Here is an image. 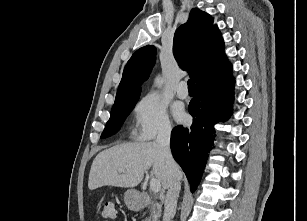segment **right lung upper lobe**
Segmentation results:
<instances>
[{"instance_id": "right-lung-upper-lobe-1", "label": "right lung upper lobe", "mask_w": 307, "mask_h": 221, "mask_svg": "<svg viewBox=\"0 0 307 221\" xmlns=\"http://www.w3.org/2000/svg\"><path fill=\"white\" fill-rule=\"evenodd\" d=\"M173 53L179 66L196 80V90L208 88L232 77V66L224 53L221 33L213 18L198 8L191 10L188 21L175 32ZM156 48L138 49L127 62L115 102L141 93L155 63Z\"/></svg>"}]
</instances>
